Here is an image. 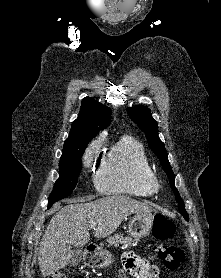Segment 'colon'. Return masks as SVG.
Listing matches in <instances>:
<instances>
[{
  "mask_svg": "<svg viewBox=\"0 0 221 278\" xmlns=\"http://www.w3.org/2000/svg\"><path fill=\"white\" fill-rule=\"evenodd\" d=\"M175 234L174 223L163 215H156L153 222V236L156 240L161 241L155 247L158 258L162 261L165 269L176 270L184 259V251L182 248L165 243L164 241L171 239ZM156 271L153 270V275ZM47 278H69L66 274L55 272ZM70 278H86L85 276L75 275Z\"/></svg>",
  "mask_w": 221,
  "mask_h": 278,
  "instance_id": "5ec220e1",
  "label": "colon"
}]
</instances>
